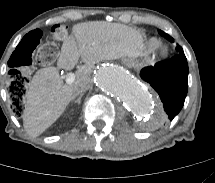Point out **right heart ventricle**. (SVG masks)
Here are the masks:
<instances>
[{
	"mask_svg": "<svg viewBox=\"0 0 215 183\" xmlns=\"http://www.w3.org/2000/svg\"><path fill=\"white\" fill-rule=\"evenodd\" d=\"M158 45H160V41L156 38L149 39L147 43V47L149 50L156 48Z\"/></svg>",
	"mask_w": 215,
	"mask_h": 183,
	"instance_id": "e07e8e85",
	"label": "right heart ventricle"
}]
</instances>
